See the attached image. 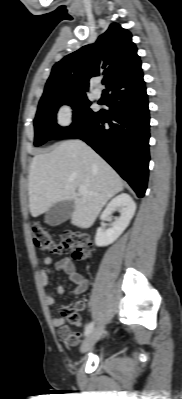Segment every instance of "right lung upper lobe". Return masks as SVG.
Returning a JSON list of instances; mask_svg holds the SVG:
<instances>
[{"mask_svg":"<svg viewBox=\"0 0 182 399\" xmlns=\"http://www.w3.org/2000/svg\"><path fill=\"white\" fill-rule=\"evenodd\" d=\"M132 35L112 23L92 45H86L57 62L47 80L41 100L65 95H86L89 79L102 70L107 88L140 73L141 61Z\"/></svg>","mask_w":182,"mask_h":399,"instance_id":"cb5924a9","label":"right lung upper lobe"}]
</instances>
